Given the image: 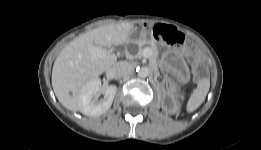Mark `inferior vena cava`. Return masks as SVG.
<instances>
[{
    "label": "inferior vena cava",
    "instance_id": "602c4592",
    "mask_svg": "<svg viewBox=\"0 0 261 150\" xmlns=\"http://www.w3.org/2000/svg\"><path fill=\"white\" fill-rule=\"evenodd\" d=\"M111 70L114 74V77L123 78L132 75L134 72V67L127 61H120L116 63Z\"/></svg>",
    "mask_w": 261,
    "mask_h": 150
}]
</instances>
